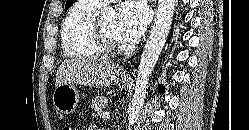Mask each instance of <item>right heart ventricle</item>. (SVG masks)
Returning a JSON list of instances; mask_svg holds the SVG:
<instances>
[{"label":"right heart ventricle","instance_id":"obj_1","mask_svg":"<svg viewBox=\"0 0 249 130\" xmlns=\"http://www.w3.org/2000/svg\"><path fill=\"white\" fill-rule=\"evenodd\" d=\"M101 5L92 0H77L61 28V45L68 57H99L104 53L94 37V22Z\"/></svg>","mask_w":249,"mask_h":130}]
</instances>
